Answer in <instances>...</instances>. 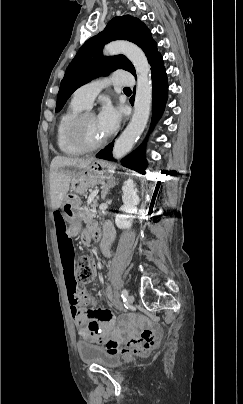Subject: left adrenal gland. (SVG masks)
Masks as SVG:
<instances>
[{
  "mask_svg": "<svg viewBox=\"0 0 243 404\" xmlns=\"http://www.w3.org/2000/svg\"><path fill=\"white\" fill-rule=\"evenodd\" d=\"M118 182H116V178H109L107 184H105V186H103L102 190H101V198L102 200H105L110 188H114V186H117Z\"/></svg>",
  "mask_w": 243,
  "mask_h": 404,
  "instance_id": "1",
  "label": "left adrenal gland"
}]
</instances>
